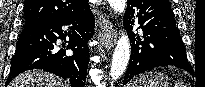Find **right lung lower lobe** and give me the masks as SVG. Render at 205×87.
Masks as SVG:
<instances>
[{
    "label": "right lung lower lobe",
    "mask_w": 205,
    "mask_h": 87,
    "mask_svg": "<svg viewBox=\"0 0 205 87\" xmlns=\"http://www.w3.org/2000/svg\"><path fill=\"white\" fill-rule=\"evenodd\" d=\"M64 25L71 31H63ZM93 27L94 17L88 5L61 19L24 27L5 85L26 70L42 69L68 79L72 87H84L89 62L88 41ZM67 36V49L73 50L72 56H66L65 50L56 46L58 39L66 42Z\"/></svg>",
    "instance_id": "obj_1"
}]
</instances>
